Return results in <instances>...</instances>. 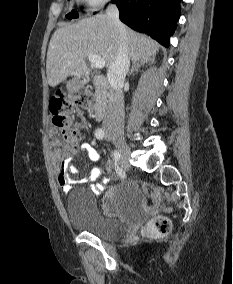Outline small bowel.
<instances>
[{
  "instance_id": "small-bowel-1",
  "label": "small bowel",
  "mask_w": 233,
  "mask_h": 284,
  "mask_svg": "<svg viewBox=\"0 0 233 284\" xmlns=\"http://www.w3.org/2000/svg\"><path fill=\"white\" fill-rule=\"evenodd\" d=\"M80 151L82 153H85L91 161L93 162L99 161L100 158L99 153L91 144L82 143L80 146ZM71 162H72V157L64 158L60 164V169L58 172V183L60 185V188L65 192L70 191V189L72 188L73 182L68 176L69 171L72 170ZM100 173L101 171L98 167H93L86 176L78 179L77 182L92 184L100 176ZM106 183L107 179L104 178L97 185H92L91 188L94 192L98 193L104 189Z\"/></svg>"
}]
</instances>
